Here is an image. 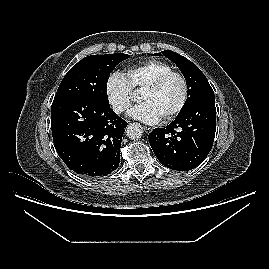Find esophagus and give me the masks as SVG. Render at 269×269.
Wrapping results in <instances>:
<instances>
[{
	"mask_svg": "<svg viewBox=\"0 0 269 269\" xmlns=\"http://www.w3.org/2000/svg\"><path fill=\"white\" fill-rule=\"evenodd\" d=\"M143 129L146 133H150L153 129L151 127L143 126Z\"/></svg>",
	"mask_w": 269,
	"mask_h": 269,
	"instance_id": "34e87169",
	"label": "esophagus"
}]
</instances>
